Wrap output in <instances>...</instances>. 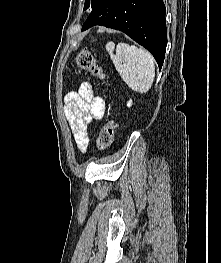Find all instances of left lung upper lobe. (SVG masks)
I'll use <instances>...</instances> for the list:
<instances>
[{
	"instance_id": "obj_1",
	"label": "left lung upper lobe",
	"mask_w": 221,
	"mask_h": 263,
	"mask_svg": "<svg viewBox=\"0 0 221 263\" xmlns=\"http://www.w3.org/2000/svg\"><path fill=\"white\" fill-rule=\"evenodd\" d=\"M103 0H85L84 10L88 8H95L99 5Z\"/></svg>"
}]
</instances>
